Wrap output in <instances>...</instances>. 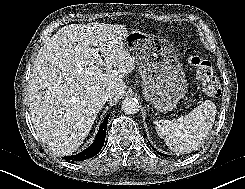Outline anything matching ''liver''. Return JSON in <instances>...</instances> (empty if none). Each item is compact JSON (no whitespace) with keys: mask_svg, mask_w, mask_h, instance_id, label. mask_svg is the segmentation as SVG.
<instances>
[{"mask_svg":"<svg viewBox=\"0 0 245 189\" xmlns=\"http://www.w3.org/2000/svg\"><path fill=\"white\" fill-rule=\"evenodd\" d=\"M124 25L89 23L64 26L38 52L29 79L31 120L41 141L57 155L83 143L103 108L107 89L114 99L126 90L123 77L135 68L124 48ZM101 52L105 73L90 49Z\"/></svg>","mask_w":245,"mask_h":189,"instance_id":"obj_1","label":"liver"}]
</instances>
